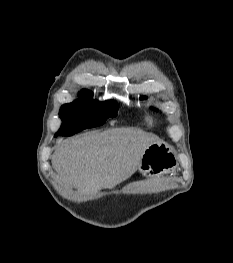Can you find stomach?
I'll return each instance as SVG.
<instances>
[{
  "mask_svg": "<svg viewBox=\"0 0 233 263\" xmlns=\"http://www.w3.org/2000/svg\"><path fill=\"white\" fill-rule=\"evenodd\" d=\"M177 165L174 150L163 142H155L145 149L139 171L146 177H156L174 171Z\"/></svg>",
  "mask_w": 233,
  "mask_h": 263,
  "instance_id": "1",
  "label": "stomach"
}]
</instances>
